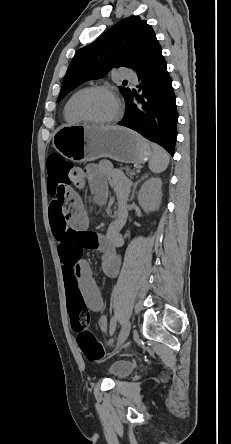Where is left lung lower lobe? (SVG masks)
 Masks as SVG:
<instances>
[{
  "mask_svg": "<svg viewBox=\"0 0 231 444\" xmlns=\"http://www.w3.org/2000/svg\"><path fill=\"white\" fill-rule=\"evenodd\" d=\"M166 65L160 48L137 72L142 95L130 90L125 97V116L118 124L139 132L174 155L178 115Z\"/></svg>",
  "mask_w": 231,
  "mask_h": 444,
  "instance_id": "0a47b994",
  "label": "left lung lower lobe"
}]
</instances>
